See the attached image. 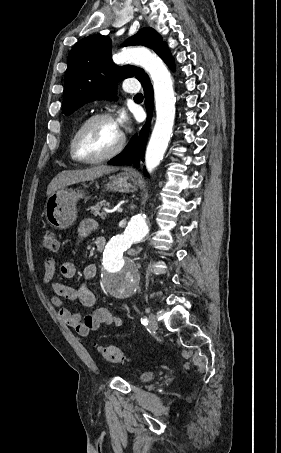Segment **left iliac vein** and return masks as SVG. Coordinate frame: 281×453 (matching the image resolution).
<instances>
[{
    "label": "left iliac vein",
    "mask_w": 281,
    "mask_h": 453,
    "mask_svg": "<svg viewBox=\"0 0 281 453\" xmlns=\"http://www.w3.org/2000/svg\"><path fill=\"white\" fill-rule=\"evenodd\" d=\"M150 331H155V328L157 326V322H156V318L155 316H153V314L151 313L150 315Z\"/></svg>",
    "instance_id": "4c4485c4"
}]
</instances>
